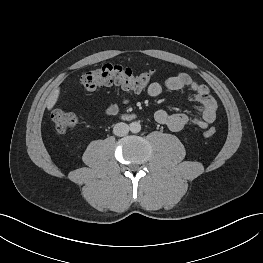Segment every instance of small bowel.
Wrapping results in <instances>:
<instances>
[{"mask_svg":"<svg viewBox=\"0 0 263 263\" xmlns=\"http://www.w3.org/2000/svg\"><path fill=\"white\" fill-rule=\"evenodd\" d=\"M188 88L193 92V101L198 110V116L191 117L186 113H170L166 110H157L154 114L155 121L166 126L171 131L177 132L185 126L192 124L198 128L205 129L211 125L216 118L217 103L210 95L209 89L204 84L199 83L186 73H178L167 78L164 82H152L147 89L151 97L159 96L164 89L179 91ZM122 101L127 103V98L122 95ZM120 107L117 103H110L101 107V112L106 116H115L119 113Z\"/></svg>","mask_w":263,"mask_h":263,"instance_id":"obj_1","label":"small bowel"}]
</instances>
